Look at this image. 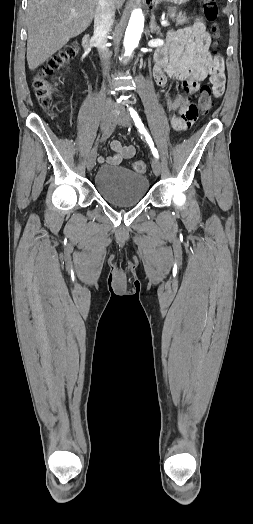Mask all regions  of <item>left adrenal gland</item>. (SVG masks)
I'll use <instances>...</instances> for the list:
<instances>
[{"mask_svg":"<svg viewBox=\"0 0 253 524\" xmlns=\"http://www.w3.org/2000/svg\"><path fill=\"white\" fill-rule=\"evenodd\" d=\"M150 32L153 34V33H156L157 35L159 36H162V33H161V29L159 26H157L156 22H155V16L154 14H152L151 16V21H150Z\"/></svg>","mask_w":253,"mask_h":524,"instance_id":"obj_1","label":"left adrenal gland"}]
</instances>
